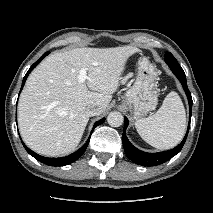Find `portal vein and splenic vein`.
I'll return each mask as SVG.
<instances>
[{"mask_svg":"<svg viewBox=\"0 0 213 213\" xmlns=\"http://www.w3.org/2000/svg\"><path fill=\"white\" fill-rule=\"evenodd\" d=\"M88 79V76H87V72H86V69H81L79 71V76H78V80L79 82L83 83L85 82L86 80Z\"/></svg>","mask_w":213,"mask_h":213,"instance_id":"1","label":"portal vein and splenic vein"}]
</instances>
